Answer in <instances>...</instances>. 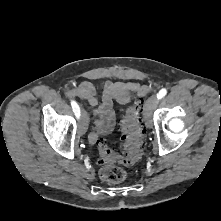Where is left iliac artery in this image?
Here are the masks:
<instances>
[{
    "instance_id": "left-iliac-artery-1",
    "label": "left iliac artery",
    "mask_w": 221,
    "mask_h": 221,
    "mask_svg": "<svg viewBox=\"0 0 221 221\" xmlns=\"http://www.w3.org/2000/svg\"><path fill=\"white\" fill-rule=\"evenodd\" d=\"M166 94H167V90L165 88H163L158 92L157 98L162 99Z\"/></svg>"
}]
</instances>
